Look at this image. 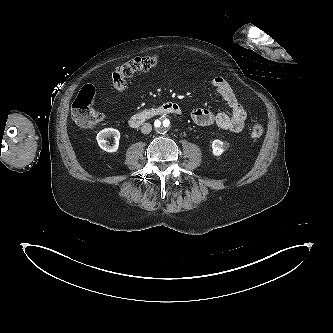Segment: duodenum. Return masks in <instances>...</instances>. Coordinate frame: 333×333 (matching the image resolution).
<instances>
[{
	"label": "duodenum",
	"instance_id": "410a0bca",
	"mask_svg": "<svg viewBox=\"0 0 333 333\" xmlns=\"http://www.w3.org/2000/svg\"><path fill=\"white\" fill-rule=\"evenodd\" d=\"M181 107L176 102H166L163 103L157 107L148 108L145 110H142L133 116H131L129 120V125L132 128H138L140 127L144 122H146L149 119H152L157 116L161 115H179L181 114Z\"/></svg>",
	"mask_w": 333,
	"mask_h": 333
}]
</instances>
